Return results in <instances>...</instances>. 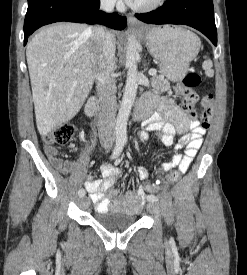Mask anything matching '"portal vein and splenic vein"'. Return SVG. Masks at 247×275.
Wrapping results in <instances>:
<instances>
[{"label":"portal vein and splenic vein","instance_id":"portal-vein-and-splenic-vein-1","mask_svg":"<svg viewBox=\"0 0 247 275\" xmlns=\"http://www.w3.org/2000/svg\"><path fill=\"white\" fill-rule=\"evenodd\" d=\"M74 71H78L77 69H75ZM157 74V71L155 69H151L149 70V75L150 76H155Z\"/></svg>","mask_w":247,"mask_h":275}]
</instances>
